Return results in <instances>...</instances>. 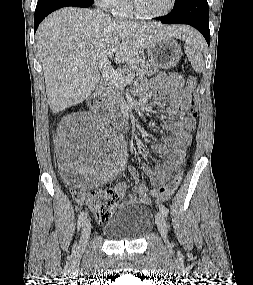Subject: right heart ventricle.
Instances as JSON below:
<instances>
[{
    "label": "right heart ventricle",
    "instance_id": "1",
    "mask_svg": "<svg viewBox=\"0 0 253 285\" xmlns=\"http://www.w3.org/2000/svg\"><path fill=\"white\" fill-rule=\"evenodd\" d=\"M112 13L118 18H132L134 17L133 12L130 9L128 0H117Z\"/></svg>",
    "mask_w": 253,
    "mask_h": 285
}]
</instances>
